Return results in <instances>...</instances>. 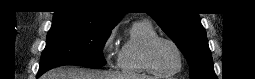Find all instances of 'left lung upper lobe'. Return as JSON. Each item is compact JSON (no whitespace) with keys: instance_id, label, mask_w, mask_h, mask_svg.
I'll return each instance as SVG.
<instances>
[{"instance_id":"5c2ea615","label":"left lung upper lobe","mask_w":255,"mask_h":79,"mask_svg":"<svg viewBox=\"0 0 255 79\" xmlns=\"http://www.w3.org/2000/svg\"><path fill=\"white\" fill-rule=\"evenodd\" d=\"M151 2L153 8L149 9L148 14L185 55L191 69V79H216L199 14L178 11L171 5L172 1Z\"/></svg>"}]
</instances>
